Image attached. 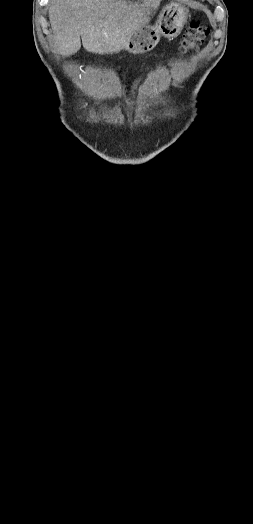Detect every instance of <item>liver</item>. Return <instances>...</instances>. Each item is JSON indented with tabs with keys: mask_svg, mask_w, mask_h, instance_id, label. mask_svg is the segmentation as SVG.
Wrapping results in <instances>:
<instances>
[{
	"mask_svg": "<svg viewBox=\"0 0 253 524\" xmlns=\"http://www.w3.org/2000/svg\"><path fill=\"white\" fill-rule=\"evenodd\" d=\"M159 3L160 0H51L53 44L57 53L66 57L79 51L81 40L92 53L119 52L127 47L133 33L147 23Z\"/></svg>",
	"mask_w": 253,
	"mask_h": 524,
	"instance_id": "6515ba94",
	"label": "liver"
}]
</instances>
